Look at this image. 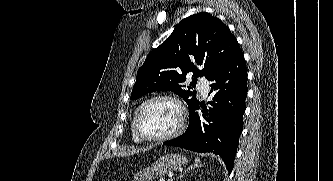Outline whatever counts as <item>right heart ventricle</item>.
<instances>
[{"label":"right heart ventricle","instance_id":"obj_1","mask_svg":"<svg viewBox=\"0 0 333 181\" xmlns=\"http://www.w3.org/2000/svg\"><path fill=\"white\" fill-rule=\"evenodd\" d=\"M131 130H132V138L135 142H142V139L135 133L134 129H133V123L131 126Z\"/></svg>","mask_w":333,"mask_h":181}]
</instances>
